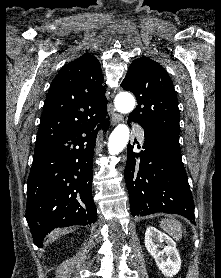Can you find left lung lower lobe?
<instances>
[{
	"label": "left lung lower lobe",
	"instance_id": "obj_1",
	"mask_svg": "<svg viewBox=\"0 0 221 278\" xmlns=\"http://www.w3.org/2000/svg\"><path fill=\"white\" fill-rule=\"evenodd\" d=\"M144 137L145 150L141 154L133 152L134 145L127 146L124 177L132 216L173 213L195 224L194 202L182 163L179 134L145 131Z\"/></svg>",
	"mask_w": 221,
	"mask_h": 278
}]
</instances>
